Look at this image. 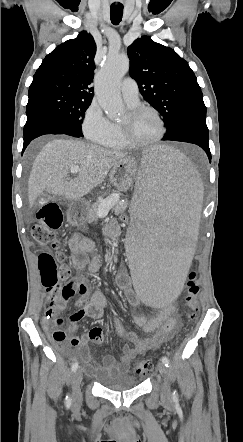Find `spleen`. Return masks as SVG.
<instances>
[{"mask_svg": "<svg viewBox=\"0 0 243 442\" xmlns=\"http://www.w3.org/2000/svg\"><path fill=\"white\" fill-rule=\"evenodd\" d=\"M140 153L130 210V219L138 222L125 241V256L132 263L134 296H144L147 307H169L181 296L193 258L204 179L171 147H141Z\"/></svg>", "mask_w": 243, "mask_h": 442, "instance_id": "3e777b00", "label": "spleen"}]
</instances>
